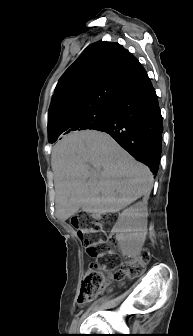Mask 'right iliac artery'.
<instances>
[{"mask_svg":"<svg viewBox=\"0 0 193 336\" xmlns=\"http://www.w3.org/2000/svg\"><path fill=\"white\" fill-rule=\"evenodd\" d=\"M76 325H77V319H74V320L72 321L71 326H70V332H74V331H75V329H76Z\"/></svg>","mask_w":193,"mask_h":336,"instance_id":"obj_1","label":"right iliac artery"}]
</instances>
